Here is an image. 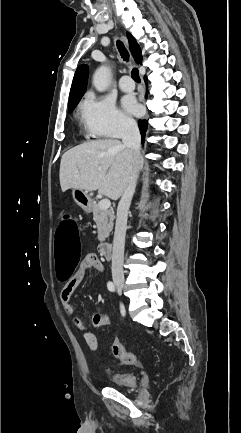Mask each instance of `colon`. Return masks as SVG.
<instances>
[{
	"label": "colon",
	"mask_w": 241,
	"mask_h": 433,
	"mask_svg": "<svg viewBox=\"0 0 241 433\" xmlns=\"http://www.w3.org/2000/svg\"><path fill=\"white\" fill-rule=\"evenodd\" d=\"M59 218L61 220L58 221V225L53 226L52 246L56 261L55 271L58 272L59 280L65 281L70 277L71 272L74 271V265L79 261L80 239L78 221L72 220L70 215L66 216L64 213H61ZM92 318L93 328L99 329L101 313H93ZM112 353L124 364H138L137 356L128 352L119 341H114L112 344Z\"/></svg>",
	"instance_id": "5ec220e1"
}]
</instances>
